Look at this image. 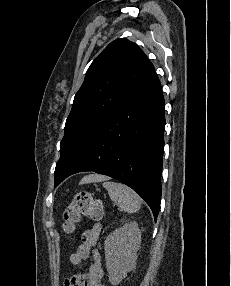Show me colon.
<instances>
[{
	"mask_svg": "<svg viewBox=\"0 0 231 286\" xmlns=\"http://www.w3.org/2000/svg\"><path fill=\"white\" fill-rule=\"evenodd\" d=\"M102 215L101 202L89 192H79L62 212L63 229L67 234H71L83 217L100 219Z\"/></svg>",
	"mask_w": 231,
	"mask_h": 286,
	"instance_id": "1",
	"label": "colon"
}]
</instances>
